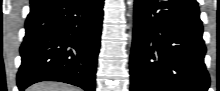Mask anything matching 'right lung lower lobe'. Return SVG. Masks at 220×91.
<instances>
[{
  "label": "right lung lower lobe",
  "instance_id": "obj_1",
  "mask_svg": "<svg viewBox=\"0 0 220 91\" xmlns=\"http://www.w3.org/2000/svg\"><path fill=\"white\" fill-rule=\"evenodd\" d=\"M103 0H32L20 47L19 91L40 81L95 90Z\"/></svg>",
  "mask_w": 220,
  "mask_h": 91
}]
</instances>
